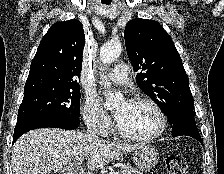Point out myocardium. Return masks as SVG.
Masks as SVG:
<instances>
[{
  "instance_id": "myocardium-1",
  "label": "myocardium",
  "mask_w": 224,
  "mask_h": 174,
  "mask_svg": "<svg viewBox=\"0 0 224 174\" xmlns=\"http://www.w3.org/2000/svg\"><path fill=\"white\" fill-rule=\"evenodd\" d=\"M127 102L130 104L145 103V104L150 105L153 108V110L156 112V114L159 118V126L156 129V131H154L151 134L133 135V134H129V133L125 132L123 129H121V127L119 126V124L117 122L116 131L120 137H122L123 139L129 140V141L146 142V141L154 140L163 134V132L165 131L166 126H167V118H166L164 111L162 110V108L159 106V104L155 100H153L152 98L147 97V96H135V97L130 98Z\"/></svg>"
}]
</instances>
